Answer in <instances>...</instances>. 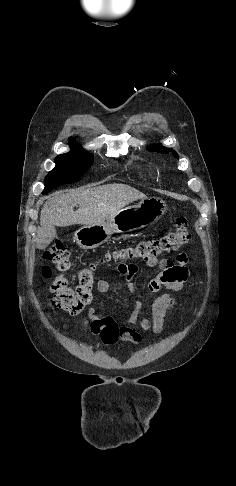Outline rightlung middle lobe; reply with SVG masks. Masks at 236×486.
I'll list each match as a JSON object with an SVG mask.
<instances>
[{"label":"right lung middle lobe","mask_w":236,"mask_h":486,"mask_svg":"<svg viewBox=\"0 0 236 486\" xmlns=\"http://www.w3.org/2000/svg\"><path fill=\"white\" fill-rule=\"evenodd\" d=\"M70 146L71 151L56 157V166L47 175L43 194L57 186L80 180L92 164L93 156L84 151L79 144L70 143Z\"/></svg>","instance_id":"obj_1"}]
</instances>
